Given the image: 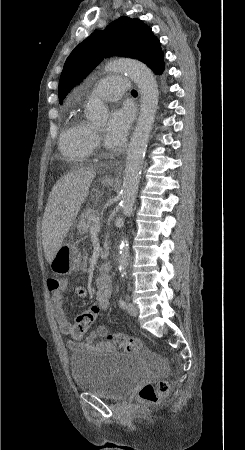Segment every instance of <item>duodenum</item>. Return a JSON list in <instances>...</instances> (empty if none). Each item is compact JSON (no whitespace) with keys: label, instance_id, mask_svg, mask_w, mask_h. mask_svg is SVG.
Masks as SVG:
<instances>
[{"label":"duodenum","instance_id":"duodenum-1","mask_svg":"<svg viewBox=\"0 0 245 450\" xmlns=\"http://www.w3.org/2000/svg\"><path fill=\"white\" fill-rule=\"evenodd\" d=\"M99 270L102 274H110L112 265L110 262H105L100 266Z\"/></svg>","mask_w":245,"mask_h":450}]
</instances>
